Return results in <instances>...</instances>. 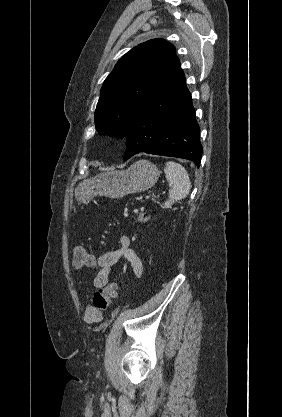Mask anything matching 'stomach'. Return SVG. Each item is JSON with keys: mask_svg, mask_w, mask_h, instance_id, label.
Returning <instances> with one entry per match:
<instances>
[{"mask_svg": "<svg viewBox=\"0 0 282 417\" xmlns=\"http://www.w3.org/2000/svg\"><path fill=\"white\" fill-rule=\"evenodd\" d=\"M159 174L160 170L150 160H136L126 170H105L79 182L75 188V196L83 204H87L96 194L121 198L125 194L148 190L157 182Z\"/></svg>", "mask_w": 282, "mask_h": 417, "instance_id": "stomach-1", "label": "stomach"}]
</instances>
